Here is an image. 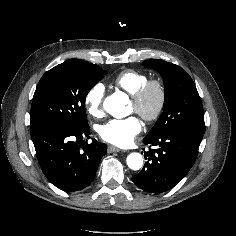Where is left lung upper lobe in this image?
Listing matches in <instances>:
<instances>
[{"label":"left lung upper lobe","mask_w":236,"mask_h":236,"mask_svg":"<svg viewBox=\"0 0 236 236\" xmlns=\"http://www.w3.org/2000/svg\"><path fill=\"white\" fill-rule=\"evenodd\" d=\"M143 66L157 70L164 80V111L148 135L172 130L205 132L203 106L196 86L181 67L164 60L144 61Z\"/></svg>","instance_id":"5c2ea615"}]
</instances>
